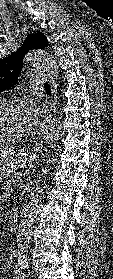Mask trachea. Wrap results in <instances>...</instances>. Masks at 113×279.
Segmentation results:
<instances>
[{"label":"trachea","mask_w":113,"mask_h":279,"mask_svg":"<svg viewBox=\"0 0 113 279\" xmlns=\"http://www.w3.org/2000/svg\"><path fill=\"white\" fill-rule=\"evenodd\" d=\"M45 89H50V86L48 84H46Z\"/></svg>","instance_id":"obj_1"}]
</instances>
